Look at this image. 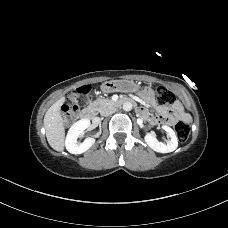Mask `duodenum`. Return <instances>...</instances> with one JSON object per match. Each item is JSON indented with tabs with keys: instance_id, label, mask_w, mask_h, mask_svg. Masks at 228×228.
<instances>
[{
	"instance_id": "obj_1",
	"label": "duodenum",
	"mask_w": 228,
	"mask_h": 228,
	"mask_svg": "<svg viewBox=\"0 0 228 228\" xmlns=\"http://www.w3.org/2000/svg\"><path fill=\"white\" fill-rule=\"evenodd\" d=\"M128 103H133V100L126 98V99L117 100V101L112 102V104L115 106H121L123 104H128ZM94 117H95V114H94L93 109L86 108L80 112V118L83 120H92V119H94Z\"/></svg>"
}]
</instances>
